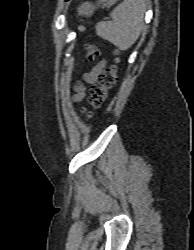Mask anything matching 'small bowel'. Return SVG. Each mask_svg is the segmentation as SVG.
I'll return each instance as SVG.
<instances>
[{"instance_id":"small-bowel-1","label":"small bowel","mask_w":194,"mask_h":250,"mask_svg":"<svg viewBox=\"0 0 194 250\" xmlns=\"http://www.w3.org/2000/svg\"><path fill=\"white\" fill-rule=\"evenodd\" d=\"M105 67V63L101 62L99 63L91 72H89L88 74H86L85 76V80L88 83H95L99 73L104 69ZM85 95V90L83 87H79L77 89V93L75 95V98L77 101H81L84 98Z\"/></svg>"}]
</instances>
